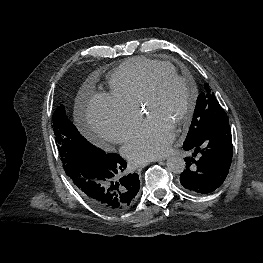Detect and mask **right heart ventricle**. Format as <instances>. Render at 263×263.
Here are the masks:
<instances>
[{
    "label": "right heart ventricle",
    "mask_w": 263,
    "mask_h": 263,
    "mask_svg": "<svg viewBox=\"0 0 263 263\" xmlns=\"http://www.w3.org/2000/svg\"><path fill=\"white\" fill-rule=\"evenodd\" d=\"M160 72H176V69L164 61L148 58L129 59L110 75V94L121 103L138 109L145 89Z\"/></svg>",
    "instance_id": "1"
}]
</instances>
